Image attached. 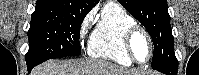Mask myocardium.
Listing matches in <instances>:
<instances>
[{"label": "myocardium", "mask_w": 199, "mask_h": 75, "mask_svg": "<svg viewBox=\"0 0 199 75\" xmlns=\"http://www.w3.org/2000/svg\"><path fill=\"white\" fill-rule=\"evenodd\" d=\"M137 33H141L142 35H144L146 37V39L148 40V43H149V47H150L149 56H148L147 60L144 61V62L138 61L137 58L135 57L134 53H133V50H132V40ZM123 41H124V45H125V49L127 51V54L129 55V57L131 58V60L134 63H137L139 65H144V64H147L151 60L153 53H154V43H153L151 35L149 34V32L144 27H142L138 24H134V25L129 26L124 31Z\"/></svg>", "instance_id": "obj_1"}]
</instances>
